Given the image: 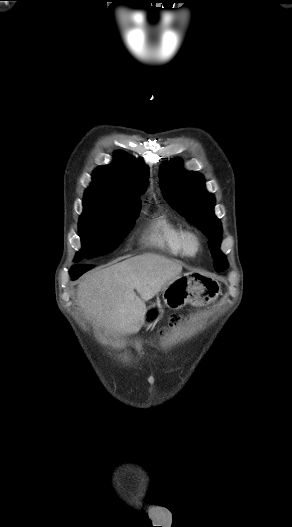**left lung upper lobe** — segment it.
<instances>
[{
    "mask_svg": "<svg viewBox=\"0 0 292 527\" xmlns=\"http://www.w3.org/2000/svg\"><path fill=\"white\" fill-rule=\"evenodd\" d=\"M159 184L166 201L209 238L215 269H224L227 262L219 249L221 223L214 215L215 198L205 190L203 177L184 171L176 160L161 168Z\"/></svg>",
    "mask_w": 292,
    "mask_h": 527,
    "instance_id": "1",
    "label": "left lung upper lobe"
}]
</instances>
